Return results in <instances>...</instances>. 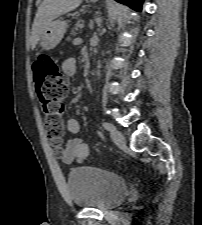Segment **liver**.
<instances>
[{
  "label": "liver",
  "mask_w": 202,
  "mask_h": 225,
  "mask_svg": "<svg viewBox=\"0 0 202 225\" xmlns=\"http://www.w3.org/2000/svg\"><path fill=\"white\" fill-rule=\"evenodd\" d=\"M83 0H43L32 26L31 47L35 48L43 31L61 15L75 10Z\"/></svg>",
  "instance_id": "6515ba94"
}]
</instances>
